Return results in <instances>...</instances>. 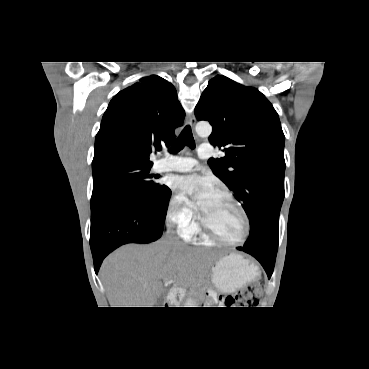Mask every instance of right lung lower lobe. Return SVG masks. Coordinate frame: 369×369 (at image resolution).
Returning a JSON list of instances; mask_svg holds the SVG:
<instances>
[{"label":"right lung lower lobe","instance_id":"1","mask_svg":"<svg viewBox=\"0 0 369 369\" xmlns=\"http://www.w3.org/2000/svg\"><path fill=\"white\" fill-rule=\"evenodd\" d=\"M171 190L159 202H144L128 193H115L91 209L90 247L97 274L103 259L127 243H150L164 231Z\"/></svg>","mask_w":369,"mask_h":369}]
</instances>
